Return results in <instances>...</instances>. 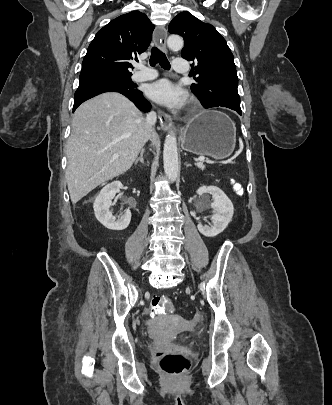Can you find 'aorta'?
Here are the masks:
<instances>
[{
  "label": "aorta",
  "instance_id": "aorta-1",
  "mask_svg": "<svg viewBox=\"0 0 332 405\" xmlns=\"http://www.w3.org/2000/svg\"><path fill=\"white\" fill-rule=\"evenodd\" d=\"M168 47L173 51L183 48V39L178 35H171L167 40ZM164 172L170 182L176 181L179 174L178 152L176 135L171 131L165 139L163 149Z\"/></svg>",
  "mask_w": 332,
  "mask_h": 405
}]
</instances>
